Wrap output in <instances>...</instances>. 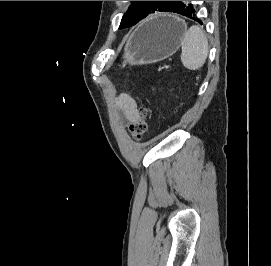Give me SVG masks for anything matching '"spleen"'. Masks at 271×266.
I'll return each mask as SVG.
<instances>
[{
	"mask_svg": "<svg viewBox=\"0 0 271 266\" xmlns=\"http://www.w3.org/2000/svg\"><path fill=\"white\" fill-rule=\"evenodd\" d=\"M181 61L189 70L200 69L209 52V44L204 30L196 25L185 31L181 41Z\"/></svg>",
	"mask_w": 271,
	"mask_h": 266,
	"instance_id": "obj_1",
	"label": "spleen"
}]
</instances>
